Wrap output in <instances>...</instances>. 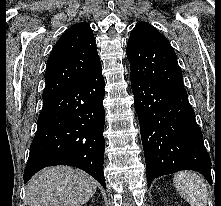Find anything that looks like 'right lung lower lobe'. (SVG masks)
<instances>
[{
	"label": "right lung lower lobe",
	"instance_id": "1",
	"mask_svg": "<svg viewBox=\"0 0 221 206\" xmlns=\"http://www.w3.org/2000/svg\"><path fill=\"white\" fill-rule=\"evenodd\" d=\"M103 99L102 70L43 98L24 183L44 167L69 165L84 170L106 188Z\"/></svg>",
	"mask_w": 221,
	"mask_h": 206
}]
</instances>
